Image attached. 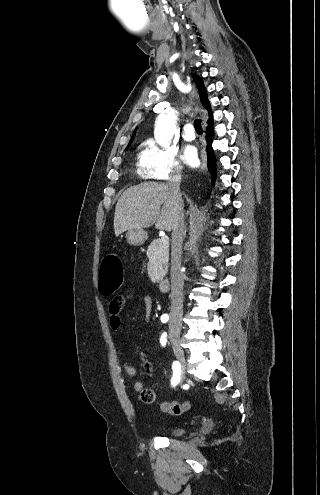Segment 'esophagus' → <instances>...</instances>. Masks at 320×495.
Wrapping results in <instances>:
<instances>
[{"instance_id":"esophagus-1","label":"esophagus","mask_w":320,"mask_h":495,"mask_svg":"<svg viewBox=\"0 0 320 495\" xmlns=\"http://www.w3.org/2000/svg\"><path fill=\"white\" fill-rule=\"evenodd\" d=\"M206 161H207V154L206 151L203 149L201 151V165H200L201 170H204L206 168Z\"/></svg>"}]
</instances>
